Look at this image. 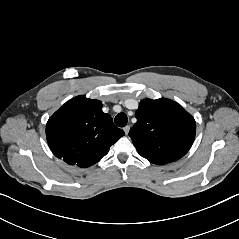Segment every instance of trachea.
<instances>
[{
    "instance_id": "trachea-1",
    "label": "trachea",
    "mask_w": 239,
    "mask_h": 239,
    "mask_svg": "<svg viewBox=\"0 0 239 239\" xmlns=\"http://www.w3.org/2000/svg\"><path fill=\"white\" fill-rule=\"evenodd\" d=\"M114 121L118 127H125L128 122V118L125 113H119L118 115H116Z\"/></svg>"
}]
</instances>
